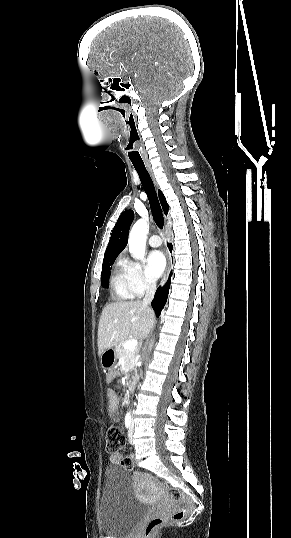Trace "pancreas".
Returning <instances> with one entry per match:
<instances>
[{
	"label": "pancreas",
	"instance_id": "cf45deb5",
	"mask_svg": "<svg viewBox=\"0 0 291 538\" xmlns=\"http://www.w3.org/2000/svg\"><path fill=\"white\" fill-rule=\"evenodd\" d=\"M125 341L120 342L115 346V352L118 359L123 358L125 361V370L129 371L134 368V357L138 350L130 351L124 348Z\"/></svg>",
	"mask_w": 291,
	"mask_h": 538
}]
</instances>
